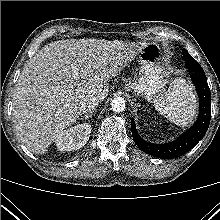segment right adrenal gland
I'll return each mask as SVG.
<instances>
[{"mask_svg":"<svg viewBox=\"0 0 220 220\" xmlns=\"http://www.w3.org/2000/svg\"><path fill=\"white\" fill-rule=\"evenodd\" d=\"M93 116V112L89 113V114H85L84 116H82L81 120H87L88 118H92Z\"/></svg>","mask_w":220,"mask_h":220,"instance_id":"1","label":"right adrenal gland"}]
</instances>
